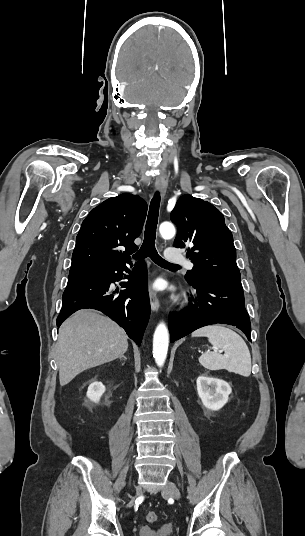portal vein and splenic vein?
Segmentation results:
<instances>
[{
  "label": "portal vein and splenic vein",
  "mask_w": 305,
  "mask_h": 536,
  "mask_svg": "<svg viewBox=\"0 0 305 536\" xmlns=\"http://www.w3.org/2000/svg\"><path fill=\"white\" fill-rule=\"evenodd\" d=\"M214 352H223V350H217V348H215Z\"/></svg>",
  "instance_id": "portal-vein-and-splenic-vein-1"
}]
</instances>
